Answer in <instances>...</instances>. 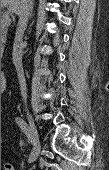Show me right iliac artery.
I'll use <instances>...</instances> for the list:
<instances>
[{
    "mask_svg": "<svg viewBox=\"0 0 109 170\" xmlns=\"http://www.w3.org/2000/svg\"><path fill=\"white\" fill-rule=\"evenodd\" d=\"M15 121H16V124L20 127V129L24 132L28 140L32 143V141L30 140V132H29V127L27 123L19 117H17Z\"/></svg>",
    "mask_w": 109,
    "mask_h": 170,
    "instance_id": "obj_1",
    "label": "right iliac artery"
}]
</instances>
